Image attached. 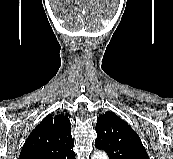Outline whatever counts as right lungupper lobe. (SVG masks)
Returning a JSON list of instances; mask_svg holds the SVG:
<instances>
[{
  "label": "right lung upper lobe",
  "instance_id": "obj_1",
  "mask_svg": "<svg viewBox=\"0 0 173 159\" xmlns=\"http://www.w3.org/2000/svg\"><path fill=\"white\" fill-rule=\"evenodd\" d=\"M71 123L62 113L49 114L28 136L19 159H75Z\"/></svg>",
  "mask_w": 173,
  "mask_h": 159
}]
</instances>
